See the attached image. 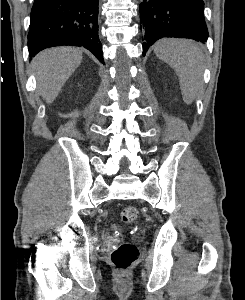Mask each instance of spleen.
<instances>
[{"instance_id": "1", "label": "spleen", "mask_w": 245, "mask_h": 300, "mask_svg": "<svg viewBox=\"0 0 245 300\" xmlns=\"http://www.w3.org/2000/svg\"><path fill=\"white\" fill-rule=\"evenodd\" d=\"M154 53L176 71L183 100L191 104L203 77L204 53L201 47L190 40L162 39L156 43Z\"/></svg>"}]
</instances>
